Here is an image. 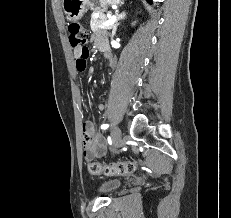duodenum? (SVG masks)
Returning <instances> with one entry per match:
<instances>
[{
  "label": "duodenum",
  "mask_w": 231,
  "mask_h": 218,
  "mask_svg": "<svg viewBox=\"0 0 231 218\" xmlns=\"http://www.w3.org/2000/svg\"><path fill=\"white\" fill-rule=\"evenodd\" d=\"M105 56H106L108 59H111V54H110L108 51H105Z\"/></svg>",
  "instance_id": "1"
}]
</instances>
